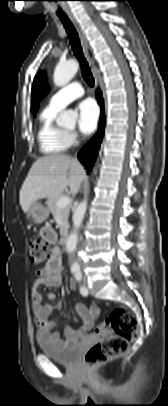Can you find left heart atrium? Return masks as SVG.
I'll return each instance as SVG.
<instances>
[{
    "instance_id": "obj_1",
    "label": "left heart atrium",
    "mask_w": 168,
    "mask_h": 406,
    "mask_svg": "<svg viewBox=\"0 0 168 406\" xmlns=\"http://www.w3.org/2000/svg\"><path fill=\"white\" fill-rule=\"evenodd\" d=\"M77 111L79 130L85 135L93 133L99 117L96 104L92 100H84L78 105Z\"/></svg>"
}]
</instances>
